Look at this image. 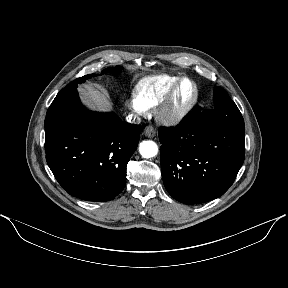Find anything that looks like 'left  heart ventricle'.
Wrapping results in <instances>:
<instances>
[{"label":"left heart ventricle","mask_w":288,"mask_h":288,"mask_svg":"<svg viewBox=\"0 0 288 288\" xmlns=\"http://www.w3.org/2000/svg\"><path fill=\"white\" fill-rule=\"evenodd\" d=\"M191 92H192L191 86L188 83H185L179 91L178 98H177L178 103H182L186 101L191 95Z\"/></svg>","instance_id":"left-heart-ventricle-1"}]
</instances>
